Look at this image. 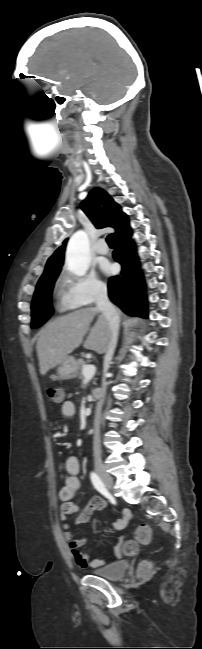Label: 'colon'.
Wrapping results in <instances>:
<instances>
[{"label":"colon","instance_id":"1","mask_svg":"<svg viewBox=\"0 0 202 649\" xmlns=\"http://www.w3.org/2000/svg\"><path fill=\"white\" fill-rule=\"evenodd\" d=\"M47 395L55 403H61L64 399V390L61 387H50L47 389ZM151 531L146 525L138 526L130 540L126 541L123 545V552L125 554H134L140 545H146L150 542ZM151 573V565L149 563H142L138 568V574L141 577L148 576Z\"/></svg>","mask_w":202,"mask_h":649}]
</instances>
